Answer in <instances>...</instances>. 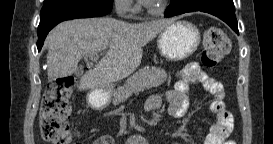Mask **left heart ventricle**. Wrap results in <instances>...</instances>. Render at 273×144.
Returning <instances> with one entry per match:
<instances>
[{"label": "left heart ventricle", "mask_w": 273, "mask_h": 144, "mask_svg": "<svg viewBox=\"0 0 273 144\" xmlns=\"http://www.w3.org/2000/svg\"><path fill=\"white\" fill-rule=\"evenodd\" d=\"M159 4L158 0H155L154 3L151 5L152 7H156Z\"/></svg>", "instance_id": "1"}]
</instances>
